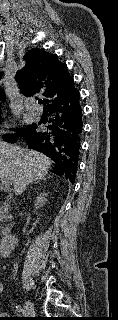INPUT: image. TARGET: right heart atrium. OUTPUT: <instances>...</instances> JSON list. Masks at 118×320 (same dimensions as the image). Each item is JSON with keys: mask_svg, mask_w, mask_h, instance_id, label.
Wrapping results in <instances>:
<instances>
[{"mask_svg": "<svg viewBox=\"0 0 118 320\" xmlns=\"http://www.w3.org/2000/svg\"><path fill=\"white\" fill-rule=\"evenodd\" d=\"M11 133V125L4 124L0 125V137H4L6 135H9Z\"/></svg>", "mask_w": 118, "mask_h": 320, "instance_id": "obj_1", "label": "right heart atrium"}]
</instances>
